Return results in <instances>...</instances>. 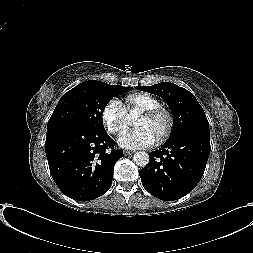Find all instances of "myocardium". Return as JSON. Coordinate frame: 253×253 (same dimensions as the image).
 <instances>
[{
    "mask_svg": "<svg viewBox=\"0 0 253 253\" xmlns=\"http://www.w3.org/2000/svg\"><path fill=\"white\" fill-rule=\"evenodd\" d=\"M141 115H144L152 119L163 118L165 121V125L161 131L160 136L158 137V141L162 143L170 137L174 127V118L169 110L163 107H157L153 109L144 110L141 112Z\"/></svg>",
    "mask_w": 253,
    "mask_h": 253,
    "instance_id": "obj_1",
    "label": "myocardium"
}]
</instances>
